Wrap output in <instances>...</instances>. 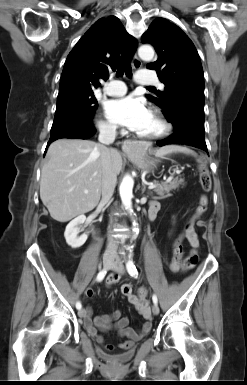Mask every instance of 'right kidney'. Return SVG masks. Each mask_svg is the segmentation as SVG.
Wrapping results in <instances>:
<instances>
[{
	"instance_id": "ca27d5eb",
	"label": "right kidney",
	"mask_w": 247,
	"mask_h": 385,
	"mask_svg": "<svg viewBox=\"0 0 247 385\" xmlns=\"http://www.w3.org/2000/svg\"><path fill=\"white\" fill-rule=\"evenodd\" d=\"M85 221L86 216L79 215L66 226L64 237L66 239V243L73 249L81 247L88 238L87 234H83L80 237H77L79 233V226Z\"/></svg>"
}]
</instances>
